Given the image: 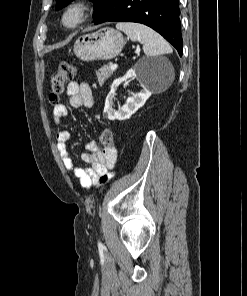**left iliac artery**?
<instances>
[{"instance_id":"1","label":"left iliac artery","mask_w":247,"mask_h":296,"mask_svg":"<svg viewBox=\"0 0 247 296\" xmlns=\"http://www.w3.org/2000/svg\"><path fill=\"white\" fill-rule=\"evenodd\" d=\"M98 246H102V243L101 242H98Z\"/></svg>"}]
</instances>
